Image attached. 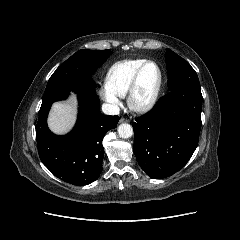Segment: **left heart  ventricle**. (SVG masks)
<instances>
[{"instance_id":"obj_1","label":"left heart ventricle","mask_w":240,"mask_h":240,"mask_svg":"<svg viewBox=\"0 0 240 240\" xmlns=\"http://www.w3.org/2000/svg\"><path fill=\"white\" fill-rule=\"evenodd\" d=\"M158 73L157 69L153 65H148L143 70L138 91H137V99L138 100H145L152 92L157 82Z\"/></svg>"}]
</instances>
